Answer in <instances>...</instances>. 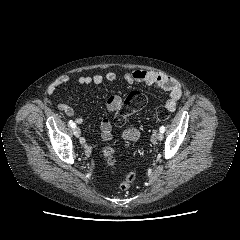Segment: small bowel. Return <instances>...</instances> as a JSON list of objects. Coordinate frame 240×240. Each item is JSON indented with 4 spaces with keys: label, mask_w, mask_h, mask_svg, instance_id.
Here are the masks:
<instances>
[{
    "label": "small bowel",
    "mask_w": 240,
    "mask_h": 240,
    "mask_svg": "<svg viewBox=\"0 0 240 240\" xmlns=\"http://www.w3.org/2000/svg\"><path fill=\"white\" fill-rule=\"evenodd\" d=\"M117 79V74L113 71H108L105 74H94V75H83L78 78V82L80 84H100L103 81L113 82ZM123 79L128 84H135V83H144L147 85L157 86L164 91L169 93V98L166 101V108L173 112L176 110L178 106V101L181 98L182 90L181 86L178 81L173 79L172 77L154 71L148 70H135L133 72L125 73ZM70 81V77L67 75H62L58 77L49 88V94L54 96L56 89L59 86L65 85ZM123 104L122 97L118 95L110 96L106 100V109L109 112H116ZM57 107L60 111L65 113L70 117H74V120L77 124H81L83 122V118L76 116L74 109L65 104V103H58ZM100 130H101V139L102 142H108L112 138V124L109 119L104 118L100 122ZM141 132L137 128H127L123 131V138L129 141H136L139 139ZM81 144L84 148V151L89 154L93 150V145L89 144L85 138L81 139Z\"/></svg>",
    "instance_id": "c3829d8e"
}]
</instances>
